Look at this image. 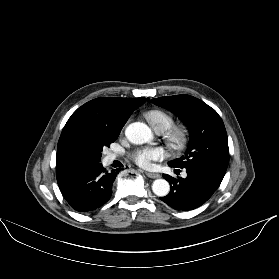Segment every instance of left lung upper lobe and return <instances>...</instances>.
Returning <instances> with one entry per match:
<instances>
[{"label":"left lung upper lobe","instance_id":"left-lung-upper-lobe-1","mask_svg":"<svg viewBox=\"0 0 279 279\" xmlns=\"http://www.w3.org/2000/svg\"><path fill=\"white\" fill-rule=\"evenodd\" d=\"M152 102L176 113L189 130L185 154L168 164L174 168L204 167L224 177L229 163L228 140L218 113L189 95L160 97Z\"/></svg>","mask_w":279,"mask_h":279}]
</instances>
